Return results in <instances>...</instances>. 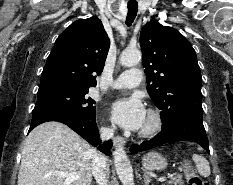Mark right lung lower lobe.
<instances>
[{"mask_svg": "<svg viewBox=\"0 0 233 185\" xmlns=\"http://www.w3.org/2000/svg\"><path fill=\"white\" fill-rule=\"evenodd\" d=\"M48 121H58L66 124L90 144L97 147L98 150L106 155L111 154V141L99 145L101 142L99 141L100 138L95 117L87 118L80 114L65 111L37 110L32 112V122L29 131L37 125Z\"/></svg>", "mask_w": 233, "mask_h": 185, "instance_id": "obj_1", "label": "right lung lower lobe"}]
</instances>
